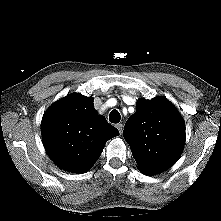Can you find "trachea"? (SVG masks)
<instances>
[{
  "label": "trachea",
  "instance_id": "1",
  "mask_svg": "<svg viewBox=\"0 0 221 221\" xmlns=\"http://www.w3.org/2000/svg\"><path fill=\"white\" fill-rule=\"evenodd\" d=\"M121 119V115L117 110H112L109 114V121L111 123H119Z\"/></svg>",
  "mask_w": 221,
  "mask_h": 221
}]
</instances>
